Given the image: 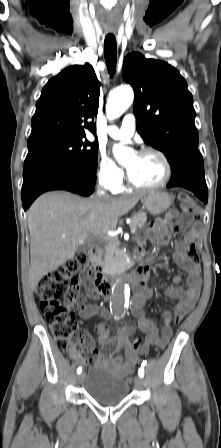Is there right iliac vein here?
Returning a JSON list of instances; mask_svg holds the SVG:
<instances>
[{"instance_id": "right-iliac-vein-1", "label": "right iliac vein", "mask_w": 221, "mask_h": 448, "mask_svg": "<svg viewBox=\"0 0 221 448\" xmlns=\"http://www.w3.org/2000/svg\"><path fill=\"white\" fill-rule=\"evenodd\" d=\"M83 379H84V373H82V374H80V375L78 376V382H79V383H82V382H83Z\"/></svg>"}]
</instances>
